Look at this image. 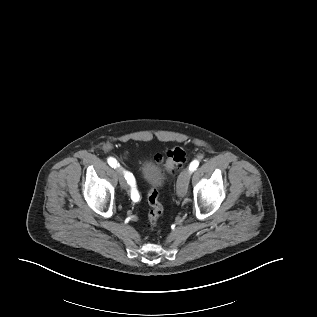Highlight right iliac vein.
<instances>
[{"label":"right iliac vein","instance_id":"obj_1","mask_svg":"<svg viewBox=\"0 0 317 317\" xmlns=\"http://www.w3.org/2000/svg\"><path fill=\"white\" fill-rule=\"evenodd\" d=\"M117 175H118L119 183H120L121 187L125 190H128L129 186H128L127 181L125 179L124 171L121 167L117 168Z\"/></svg>","mask_w":317,"mask_h":317}]
</instances>
